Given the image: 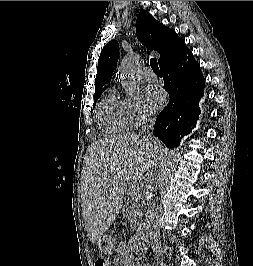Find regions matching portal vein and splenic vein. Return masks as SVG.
Listing matches in <instances>:
<instances>
[{
    "instance_id": "portal-vein-and-splenic-vein-1",
    "label": "portal vein and splenic vein",
    "mask_w": 253,
    "mask_h": 266,
    "mask_svg": "<svg viewBox=\"0 0 253 266\" xmlns=\"http://www.w3.org/2000/svg\"><path fill=\"white\" fill-rule=\"evenodd\" d=\"M132 192L136 194L138 192V189L134 186Z\"/></svg>"
}]
</instances>
